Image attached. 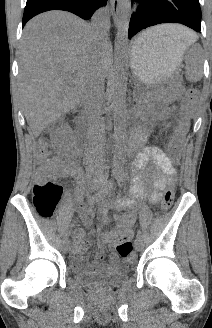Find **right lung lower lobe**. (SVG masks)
Instances as JSON below:
<instances>
[{
    "mask_svg": "<svg viewBox=\"0 0 212 328\" xmlns=\"http://www.w3.org/2000/svg\"><path fill=\"white\" fill-rule=\"evenodd\" d=\"M106 2L107 0H27L22 23L24 26L32 17L50 10L69 11L88 20Z\"/></svg>",
    "mask_w": 212,
    "mask_h": 328,
    "instance_id": "98d812e1",
    "label": "right lung lower lobe"
}]
</instances>
